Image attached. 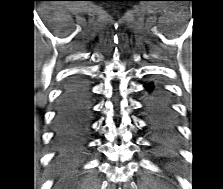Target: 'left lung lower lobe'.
<instances>
[{
  "label": "left lung lower lobe",
  "instance_id": "0a47b994",
  "mask_svg": "<svg viewBox=\"0 0 223 189\" xmlns=\"http://www.w3.org/2000/svg\"><path fill=\"white\" fill-rule=\"evenodd\" d=\"M143 107L150 125L173 131L175 122L170 97L164 87L153 82L144 84Z\"/></svg>",
  "mask_w": 223,
  "mask_h": 189
}]
</instances>
